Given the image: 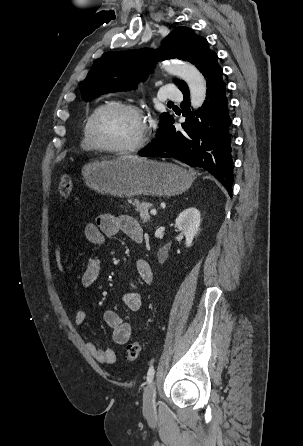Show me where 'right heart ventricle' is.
Returning a JSON list of instances; mask_svg holds the SVG:
<instances>
[{
	"label": "right heart ventricle",
	"mask_w": 303,
	"mask_h": 446,
	"mask_svg": "<svg viewBox=\"0 0 303 446\" xmlns=\"http://www.w3.org/2000/svg\"><path fill=\"white\" fill-rule=\"evenodd\" d=\"M88 119H89V117L86 119L84 126H83L82 137H81V147L84 150L91 151V150H94L95 148L90 144L88 137H87L86 128H87Z\"/></svg>",
	"instance_id": "obj_1"
}]
</instances>
